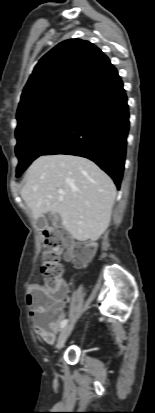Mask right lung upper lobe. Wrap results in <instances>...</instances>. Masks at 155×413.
I'll use <instances>...</instances> for the list:
<instances>
[{"label": "right lung upper lobe", "instance_id": "cb5924a9", "mask_svg": "<svg viewBox=\"0 0 155 413\" xmlns=\"http://www.w3.org/2000/svg\"><path fill=\"white\" fill-rule=\"evenodd\" d=\"M118 74L94 44L70 39L59 43L35 66L21 95L18 127L64 104H78Z\"/></svg>", "mask_w": 155, "mask_h": 413}]
</instances>
